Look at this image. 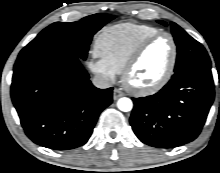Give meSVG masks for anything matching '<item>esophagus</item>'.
<instances>
[{
	"label": "esophagus",
	"mask_w": 220,
	"mask_h": 173,
	"mask_svg": "<svg viewBox=\"0 0 220 173\" xmlns=\"http://www.w3.org/2000/svg\"><path fill=\"white\" fill-rule=\"evenodd\" d=\"M122 96H124V93L120 89L115 88L114 91H113V99L117 100Z\"/></svg>",
	"instance_id": "34e87169"
}]
</instances>
